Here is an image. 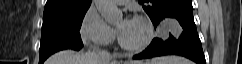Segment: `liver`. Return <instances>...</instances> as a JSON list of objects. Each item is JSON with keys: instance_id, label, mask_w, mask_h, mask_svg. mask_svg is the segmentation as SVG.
<instances>
[{"instance_id": "1", "label": "liver", "mask_w": 242, "mask_h": 64, "mask_svg": "<svg viewBox=\"0 0 242 64\" xmlns=\"http://www.w3.org/2000/svg\"><path fill=\"white\" fill-rule=\"evenodd\" d=\"M150 64L148 61H135L130 64ZM45 64H104L96 54H79L72 50H65L55 53L47 59ZM108 64H117L115 61H109Z\"/></svg>"}]
</instances>
